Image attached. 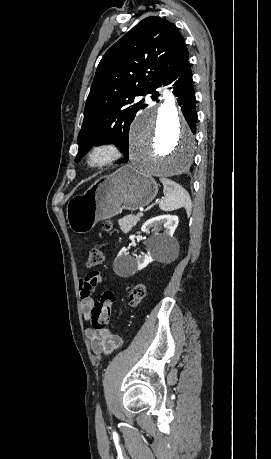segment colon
Wrapping results in <instances>:
<instances>
[{
    "label": "colon",
    "instance_id": "1",
    "mask_svg": "<svg viewBox=\"0 0 271 459\" xmlns=\"http://www.w3.org/2000/svg\"><path fill=\"white\" fill-rule=\"evenodd\" d=\"M103 229L109 231L112 228L110 221L103 223ZM104 253L100 246H93L89 250L86 265L88 268H95L102 264ZM146 294V287L143 284H136L131 289L128 302L130 306H137ZM114 302V294L111 291H105L99 295L94 307L91 311L89 322L95 329L104 328L110 319L112 304Z\"/></svg>",
    "mask_w": 271,
    "mask_h": 459
}]
</instances>
